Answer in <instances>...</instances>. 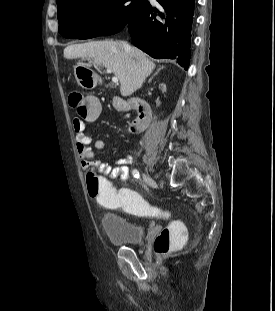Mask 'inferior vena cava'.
<instances>
[{"instance_id":"1","label":"inferior vena cava","mask_w":275,"mask_h":311,"mask_svg":"<svg viewBox=\"0 0 275 311\" xmlns=\"http://www.w3.org/2000/svg\"><path fill=\"white\" fill-rule=\"evenodd\" d=\"M125 48L130 50V46L128 44H125Z\"/></svg>"}]
</instances>
